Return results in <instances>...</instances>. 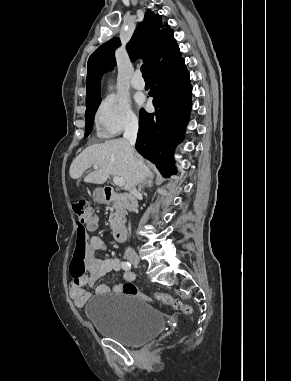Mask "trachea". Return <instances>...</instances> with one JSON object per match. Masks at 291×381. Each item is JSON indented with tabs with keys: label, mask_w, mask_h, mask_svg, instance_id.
<instances>
[{
	"label": "trachea",
	"mask_w": 291,
	"mask_h": 381,
	"mask_svg": "<svg viewBox=\"0 0 291 381\" xmlns=\"http://www.w3.org/2000/svg\"><path fill=\"white\" fill-rule=\"evenodd\" d=\"M141 72L144 78H149V72L147 70L146 65L141 66Z\"/></svg>",
	"instance_id": "1"
}]
</instances>
